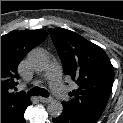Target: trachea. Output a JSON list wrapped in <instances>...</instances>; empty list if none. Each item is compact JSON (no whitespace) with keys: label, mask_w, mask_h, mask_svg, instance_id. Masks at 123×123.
<instances>
[{"label":"trachea","mask_w":123,"mask_h":123,"mask_svg":"<svg viewBox=\"0 0 123 123\" xmlns=\"http://www.w3.org/2000/svg\"><path fill=\"white\" fill-rule=\"evenodd\" d=\"M28 93H29V95H32V96H39V95L42 97H48L49 96V93L46 89L40 88L38 86L33 87Z\"/></svg>","instance_id":"1"}]
</instances>
